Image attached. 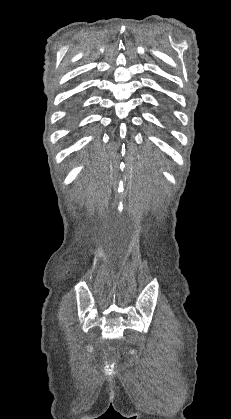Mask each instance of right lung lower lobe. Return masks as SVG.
Segmentation results:
<instances>
[{"label": "right lung lower lobe", "mask_w": 231, "mask_h": 419, "mask_svg": "<svg viewBox=\"0 0 231 419\" xmlns=\"http://www.w3.org/2000/svg\"><path fill=\"white\" fill-rule=\"evenodd\" d=\"M75 113H76V112H75V111H73V112H71V115H72V116H74V115H75Z\"/></svg>", "instance_id": "right-lung-lower-lobe-1"}]
</instances>
